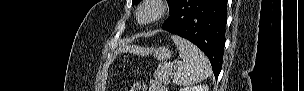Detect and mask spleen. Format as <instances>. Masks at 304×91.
<instances>
[{"label": "spleen", "instance_id": "3e777b00", "mask_svg": "<svg viewBox=\"0 0 304 91\" xmlns=\"http://www.w3.org/2000/svg\"><path fill=\"white\" fill-rule=\"evenodd\" d=\"M172 39L182 60L178 63L173 82L179 86H189L208 78L211 65L205 54L184 38L172 36Z\"/></svg>", "mask_w": 304, "mask_h": 91}]
</instances>
